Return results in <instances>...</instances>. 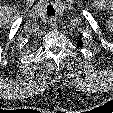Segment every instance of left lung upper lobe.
Wrapping results in <instances>:
<instances>
[{"instance_id": "5c2ea615", "label": "left lung upper lobe", "mask_w": 113, "mask_h": 113, "mask_svg": "<svg viewBox=\"0 0 113 113\" xmlns=\"http://www.w3.org/2000/svg\"><path fill=\"white\" fill-rule=\"evenodd\" d=\"M82 45H83L82 41H78V46L80 47Z\"/></svg>"}]
</instances>
